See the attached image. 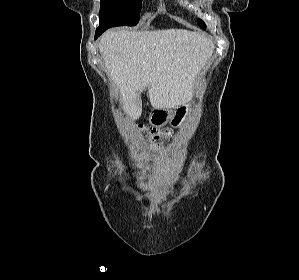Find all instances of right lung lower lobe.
Listing matches in <instances>:
<instances>
[{"label": "right lung lower lobe", "mask_w": 299, "mask_h": 280, "mask_svg": "<svg viewBox=\"0 0 299 280\" xmlns=\"http://www.w3.org/2000/svg\"><path fill=\"white\" fill-rule=\"evenodd\" d=\"M99 20H100V25L96 29L95 39H97L108 28H111V27L115 26V23L112 22V20H110V19H105V18L100 17Z\"/></svg>", "instance_id": "1"}]
</instances>
